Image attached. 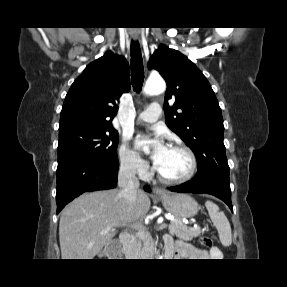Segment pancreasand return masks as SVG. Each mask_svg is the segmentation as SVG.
<instances>
[{
    "instance_id": "1",
    "label": "pancreas",
    "mask_w": 287,
    "mask_h": 287,
    "mask_svg": "<svg viewBox=\"0 0 287 287\" xmlns=\"http://www.w3.org/2000/svg\"><path fill=\"white\" fill-rule=\"evenodd\" d=\"M169 233L176 237L191 241L193 238L199 236L202 231L200 228H190L183 224L182 219L176 218L169 225ZM151 249L150 237L144 232H138L133 236L132 241L129 244L128 256L143 257L148 254Z\"/></svg>"
}]
</instances>
